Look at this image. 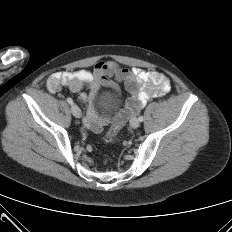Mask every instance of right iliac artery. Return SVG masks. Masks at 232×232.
I'll return each instance as SVG.
<instances>
[{"instance_id":"right-iliac-artery-1","label":"right iliac artery","mask_w":232,"mask_h":232,"mask_svg":"<svg viewBox=\"0 0 232 232\" xmlns=\"http://www.w3.org/2000/svg\"><path fill=\"white\" fill-rule=\"evenodd\" d=\"M67 102L71 105L73 104V100L71 98H67Z\"/></svg>"}]
</instances>
